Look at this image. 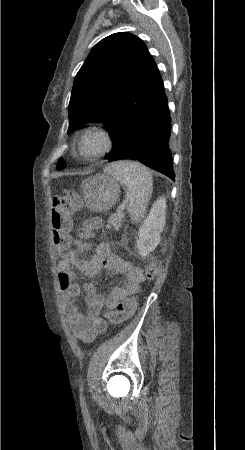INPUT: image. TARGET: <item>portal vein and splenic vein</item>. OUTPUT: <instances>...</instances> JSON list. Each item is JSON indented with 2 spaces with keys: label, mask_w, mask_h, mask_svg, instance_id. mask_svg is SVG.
Here are the masks:
<instances>
[{
  "label": "portal vein and splenic vein",
  "mask_w": 245,
  "mask_h": 450,
  "mask_svg": "<svg viewBox=\"0 0 245 450\" xmlns=\"http://www.w3.org/2000/svg\"><path fill=\"white\" fill-rule=\"evenodd\" d=\"M128 201H125L123 204H121L118 209H117V213H120L121 211H123L125 209L126 203Z\"/></svg>",
  "instance_id": "18ae733b"
}]
</instances>
